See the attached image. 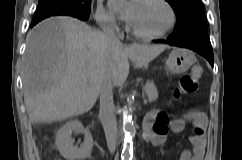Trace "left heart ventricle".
I'll return each instance as SVG.
<instances>
[{
  "instance_id": "1",
  "label": "left heart ventricle",
  "mask_w": 242,
  "mask_h": 160,
  "mask_svg": "<svg viewBox=\"0 0 242 160\" xmlns=\"http://www.w3.org/2000/svg\"><path fill=\"white\" fill-rule=\"evenodd\" d=\"M168 9L156 0H139L131 26L145 34H154L162 31L169 23Z\"/></svg>"
}]
</instances>
